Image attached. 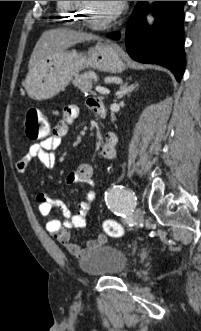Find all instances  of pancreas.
<instances>
[{
    "instance_id": "1",
    "label": "pancreas",
    "mask_w": 201,
    "mask_h": 331,
    "mask_svg": "<svg viewBox=\"0 0 201 331\" xmlns=\"http://www.w3.org/2000/svg\"><path fill=\"white\" fill-rule=\"evenodd\" d=\"M96 78V74L94 72H86L79 76L75 77L73 80V85L76 86L81 92H90L91 94H95V92L91 91L93 79Z\"/></svg>"
}]
</instances>
